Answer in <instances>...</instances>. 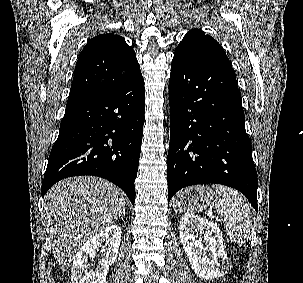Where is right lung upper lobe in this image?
Segmentation results:
<instances>
[{"label":"right lung upper lobe","mask_w":303,"mask_h":283,"mask_svg":"<svg viewBox=\"0 0 303 283\" xmlns=\"http://www.w3.org/2000/svg\"><path fill=\"white\" fill-rule=\"evenodd\" d=\"M142 77L134 50L117 34L90 39L79 55L67 105L121 88Z\"/></svg>","instance_id":"obj_1"}]
</instances>
